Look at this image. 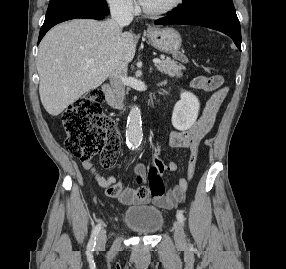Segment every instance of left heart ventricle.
Segmentation results:
<instances>
[{
    "label": "left heart ventricle",
    "instance_id": "obj_1",
    "mask_svg": "<svg viewBox=\"0 0 286 269\" xmlns=\"http://www.w3.org/2000/svg\"><path fill=\"white\" fill-rule=\"evenodd\" d=\"M173 0H143L141 3L148 9L156 10L165 7Z\"/></svg>",
    "mask_w": 286,
    "mask_h": 269
}]
</instances>
